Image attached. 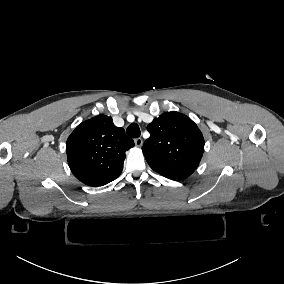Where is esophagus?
Returning a JSON list of instances; mask_svg holds the SVG:
<instances>
[{"label":"esophagus","instance_id":"34e87169","mask_svg":"<svg viewBox=\"0 0 284 284\" xmlns=\"http://www.w3.org/2000/svg\"><path fill=\"white\" fill-rule=\"evenodd\" d=\"M134 142L137 147H141L143 145V140L141 138H136Z\"/></svg>","mask_w":284,"mask_h":284}]
</instances>
